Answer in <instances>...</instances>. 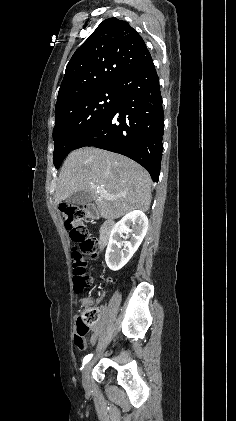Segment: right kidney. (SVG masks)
Returning a JSON list of instances; mask_svg holds the SVG:
<instances>
[{
  "label": "right kidney",
  "instance_id": "obj_1",
  "mask_svg": "<svg viewBox=\"0 0 236 421\" xmlns=\"http://www.w3.org/2000/svg\"><path fill=\"white\" fill-rule=\"evenodd\" d=\"M131 227V229H130ZM148 231V219L142 211H131L113 227L105 253L107 267L111 271H120L138 247ZM122 233H132L129 241H122ZM124 247V249H121Z\"/></svg>",
  "mask_w": 236,
  "mask_h": 421
}]
</instances>
